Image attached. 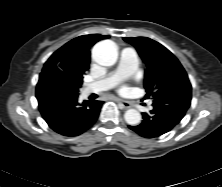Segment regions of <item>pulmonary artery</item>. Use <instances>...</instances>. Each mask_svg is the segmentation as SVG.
Segmentation results:
<instances>
[{"label":"pulmonary artery","instance_id":"obj_1","mask_svg":"<svg viewBox=\"0 0 222 187\" xmlns=\"http://www.w3.org/2000/svg\"><path fill=\"white\" fill-rule=\"evenodd\" d=\"M137 68V55L134 49L126 47L120 54V62L115 72L86 85L82 93L87 96L91 93H98L116 85L120 80L131 76ZM151 104V102H150Z\"/></svg>","mask_w":222,"mask_h":187}]
</instances>
